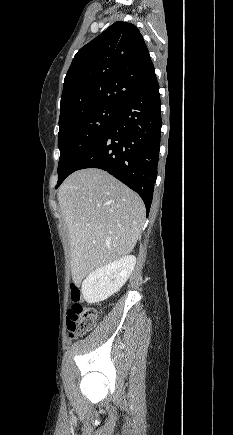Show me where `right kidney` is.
Masks as SVG:
<instances>
[{
	"mask_svg": "<svg viewBox=\"0 0 233 435\" xmlns=\"http://www.w3.org/2000/svg\"><path fill=\"white\" fill-rule=\"evenodd\" d=\"M135 264V256H124L90 273L81 287L85 301L95 304L119 291L131 275Z\"/></svg>",
	"mask_w": 233,
	"mask_h": 435,
	"instance_id": "ca27d5eb",
	"label": "right kidney"
}]
</instances>
